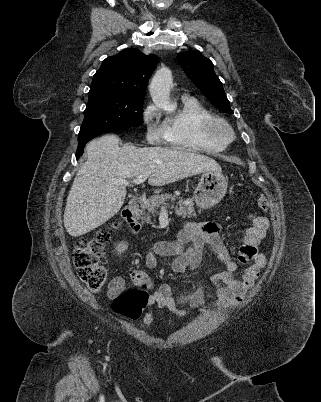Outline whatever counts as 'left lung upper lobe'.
<instances>
[{"instance_id": "obj_1", "label": "left lung upper lobe", "mask_w": 321, "mask_h": 402, "mask_svg": "<svg viewBox=\"0 0 321 402\" xmlns=\"http://www.w3.org/2000/svg\"><path fill=\"white\" fill-rule=\"evenodd\" d=\"M177 59L186 75L213 105L225 113H233L211 60L204 57L198 50L178 53Z\"/></svg>"}]
</instances>
